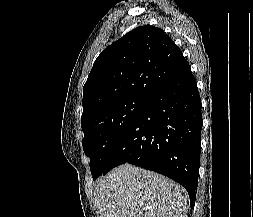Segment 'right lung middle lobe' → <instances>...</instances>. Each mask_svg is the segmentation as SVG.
I'll use <instances>...</instances> for the list:
<instances>
[{
  "mask_svg": "<svg viewBox=\"0 0 253 217\" xmlns=\"http://www.w3.org/2000/svg\"><path fill=\"white\" fill-rule=\"evenodd\" d=\"M147 100L146 97L126 98L99 110L81 124L84 133L82 146L90 158L93 180L106 170L113 149Z\"/></svg>",
  "mask_w": 253,
  "mask_h": 217,
  "instance_id": "obj_1",
  "label": "right lung middle lobe"
}]
</instances>
